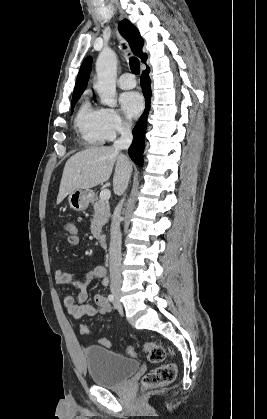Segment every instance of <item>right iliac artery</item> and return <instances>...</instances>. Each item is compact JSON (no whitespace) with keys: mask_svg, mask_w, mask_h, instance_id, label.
<instances>
[{"mask_svg":"<svg viewBox=\"0 0 267 419\" xmlns=\"http://www.w3.org/2000/svg\"><path fill=\"white\" fill-rule=\"evenodd\" d=\"M108 300H109L110 302H113V301H114V295L110 294V295L108 296Z\"/></svg>","mask_w":267,"mask_h":419,"instance_id":"right-iliac-artery-1","label":"right iliac artery"}]
</instances>
